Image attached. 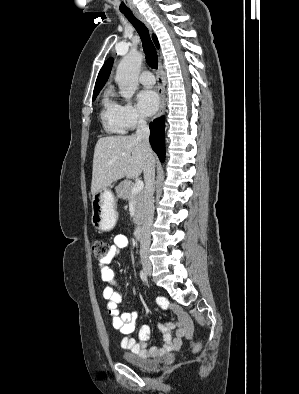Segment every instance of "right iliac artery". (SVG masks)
Returning <instances> with one entry per match:
<instances>
[{
  "mask_svg": "<svg viewBox=\"0 0 299 394\" xmlns=\"http://www.w3.org/2000/svg\"><path fill=\"white\" fill-rule=\"evenodd\" d=\"M140 277H141L143 282L147 281V275H146V273L143 270L140 271Z\"/></svg>",
  "mask_w": 299,
  "mask_h": 394,
  "instance_id": "obj_1",
  "label": "right iliac artery"
}]
</instances>
